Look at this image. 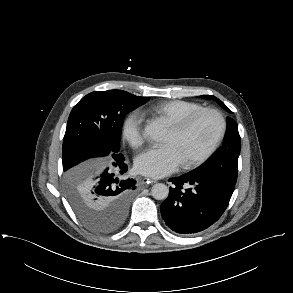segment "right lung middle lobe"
I'll return each instance as SVG.
<instances>
[{"label": "right lung middle lobe", "mask_w": 293, "mask_h": 293, "mask_svg": "<svg viewBox=\"0 0 293 293\" xmlns=\"http://www.w3.org/2000/svg\"><path fill=\"white\" fill-rule=\"evenodd\" d=\"M148 100L122 90L96 91L83 97L70 113L62 148L66 192L77 216L93 230L112 231L123 217L99 213L90 206L85 188L92 164L82 162L118 156L125 115Z\"/></svg>", "instance_id": "dd1d6c3e"}]
</instances>
